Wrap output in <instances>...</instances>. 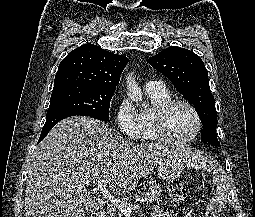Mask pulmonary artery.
I'll list each match as a JSON object with an SVG mask.
<instances>
[{"instance_id": "e3ab8cb5", "label": "pulmonary artery", "mask_w": 255, "mask_h": 217, "mask_svg": "<svg viewBox=\"0 0 255 217\" xmlns=\"http://www.w3.org/2000/svg\"><path fill=\"white\" fill-rule=\"evenodd\" d=\"M164 87V84L160 81H149L145 85V89H160Z\"/></svg>"}]
</instances>
